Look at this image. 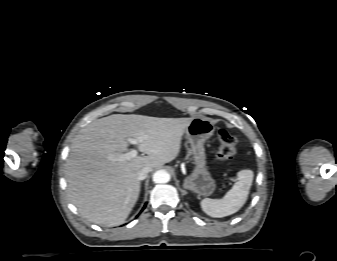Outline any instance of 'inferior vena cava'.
Returning a JSON list of instances; mask_svg holds the SVG:
<instances>
[{"label": "inferior vena cava", "instance_id": "1", "mask_svg": "<svg viewBox=\"0 0 337 261\" xmlns=\"http://www.w3.org/2000/svg\"><path fill=\"white\" fill-rule=\"evenodd\" d=\"M150 168L145 167L138 171L137 178L138 180H144L147 177V174L149 173Z\"/></svg>", "mask_w": 337, "mask_h": 261}]
</instances>
